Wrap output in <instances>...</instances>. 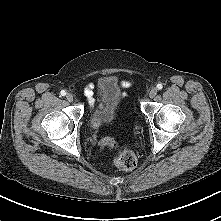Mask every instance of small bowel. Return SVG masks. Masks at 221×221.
Wrapping results in <instances>:
<instances>
[{
  "label": "small bowel",
  "mask_w": 221,
  "mask_h": 221,
  "mask_svg": "<svg viewBox=\"0 0 221 221\" xmlns=\"http://www.w3.org/2000/svg\"><path fill=\"white\" fill-rule=\"evenodd\" d=\"M122 85L125 86V85H128V84L125 83V82H123ZM93 88H94V86H93L92 84H90V85L88 86V88L86 89V95H87V97H88V101H89V104H90V105L93 104V99L91 98V95H90V93H91V91L93 90Z\"/></svg>",
  "instance_id": "small-bowel-1"
}]
</instances>
